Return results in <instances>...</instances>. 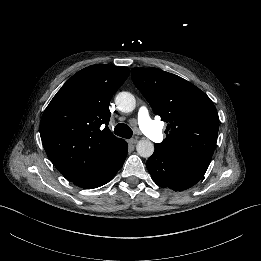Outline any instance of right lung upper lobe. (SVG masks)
Listing matches in <instances>:
<instances>
[{
    "instance_id": "obj_1",
    "label": "right lung upper lobe",
    "mask_w": 261,
    "mask_h": 261,
    "mask_svg": "<svg viewBox=\"0 0 261 261\" xmlns=\"http://www.w3.org/2000/svg\"><path fill=\"white\" fill-rule=\"evenodd\" d=\"M129 75L126 67L92 65L57 92L40 123L46 154L69 181L106 165L127 143L108 128L109 102Z\"/></svg>"
}]
</instances>
